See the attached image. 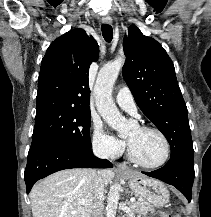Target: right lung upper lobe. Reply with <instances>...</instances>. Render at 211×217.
I'll return each mask as SVG.
<instances>
[{
	"label": "right lung upper lobe",
	"mask_w": 211,
	"mask_h": 217,
	"mask_svg": "<svg viewBox=\"0 0 211 217\" xmlns=\"http://www.w3.org/2000/svg\"><path fill=\"white\" fill-rule=\"evenodd\" d=\"M99 47L82 29L51 43L41 62L36 118L57 112L90 111L88 72Z\"/></svg>",
	"instance_id": "1"
}]
</instances>
